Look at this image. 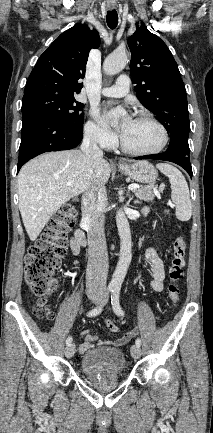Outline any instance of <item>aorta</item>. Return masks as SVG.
<instances>
[{"mask_svg":"<svg viewBox=\"0 0 213 433\" xmlns=\"http://www.w3.org/2000/svg\"><path fill=\"white\" fill-rule=\"evenodd\" d=\"M128 63L125 51H115L110 54L103 63V70L108 75L121 72ZM116 223L120 236V254L115 272L112 276L110 287L120 288L132 259V244L129 222L122 210L116 213Z\"/></svg>","mask_w":213,"mask_h":433,"instance_id":"aorta-1","label":"aorta"}]
</instances>
